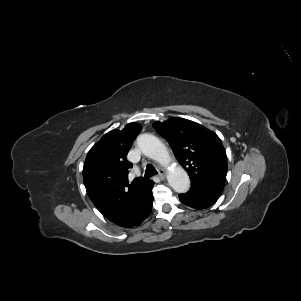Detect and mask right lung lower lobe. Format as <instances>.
<instances>
[{
	"label": "right lung lower lobe",
	"mask_w": 301,
	"mask_h": 301,
	"mask_svg": "<svg viewBox=\"0 0 301 301\" xmlns=\"http://www.w3.org/2000/svg\"><path fill=\"white\" fill-rule=\"evenodd\" d=\"M154 182L150 181L149 185L147 186L144 194L134 210V212L128 217L120 226L122 227H132L137 226L142 223L150 214L152 210V203H153V195H152V188Z\"/></svg>",
	"instance_id": "right-lung-lower-lobe-1"
}]
</instances>
